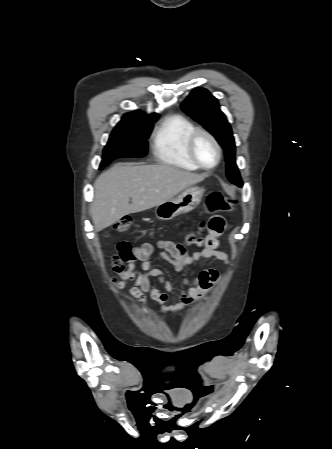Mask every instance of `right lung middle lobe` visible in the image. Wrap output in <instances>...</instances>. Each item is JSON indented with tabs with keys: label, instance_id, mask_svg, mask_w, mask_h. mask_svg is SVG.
<instances>
[{
	"label": "right lung middle lobe",
	"instance_id": "obj_1",
	"mask_svg": "<svg viewBox=\"0 0 332 449\" xmlns=\"http://www.w3.org/2000/svg\"><path fill=\"white\" fill-rule=\"evenodd\" d=\"M152 120L129 119L120 121L103 150L99 169H103L116 158L143 157L147 154V139L153 128Z\"/></svg>",
	"mask_w": 332,
	"mask_h": 449
}]
</instances>
